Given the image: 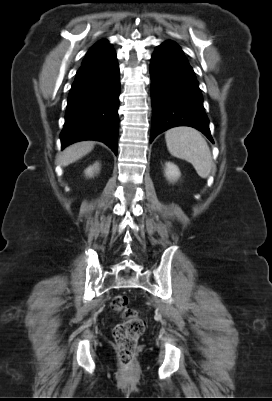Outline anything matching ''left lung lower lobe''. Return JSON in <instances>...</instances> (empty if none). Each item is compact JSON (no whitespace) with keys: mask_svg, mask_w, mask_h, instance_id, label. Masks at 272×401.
I'll return each mask as SVG.
<instances>
[{"mask_svg":"<svg viewBox=\"0 0 272 401\" xmlns=\"http://www.w3.org/2000/svg\"><path fill=\"white\" fill-rule=\"evenodd\" d=\"M150 75L153 109L150 142L169 128L190 126L213 143L198 81L175 42L166 41L155 49Z\"/></svg>","mask_w":272,"mask_h":401,"instance_id":"left-lung-lower-lobe-1","label":"left lung lower lobe"}]
</instances>
